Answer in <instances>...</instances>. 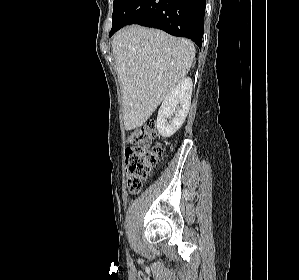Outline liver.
I'll return each instance as SVG.
<instances>
[{"label": "liver", "instance_id": "1", "mask_svg": "<svg viewBox=\"0 0 299 280\" xmlns=\"http://www.w3.org/2000/svg\"><path fill=\"white\" fill-rule=\"evenodd\" d=\"M112 52L123 94L126 130L141 127L148 120L186 76L195 57L190 40L138 25L114 35Z\"/></svg>", "mask_w": 299, "mask_h": 280}]
</instances>
